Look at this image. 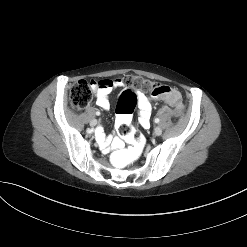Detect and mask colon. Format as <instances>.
Instances as JSON below:
<instances>
[{
    "instance_id": "5ec220e1",
    "label": "colon",
    "mask_w": 247,
    "mask_h": 247,
    "mask_svg": "<svg viewBox=\"0 0 247 247\" xmlns=\"http://www.w3.org/2000/svg\"><path fill=\"white\" fill-rule=\"evenodd\" d=\"M128 88L120 95L116 108L118 134L128 142L123 149H115L109 155V162L115 168L127 169L138 163L146 147V138L136 131L131 123L132 113L138 101V91L149 92L155 98H162L171 106L180 105L177 91L141 76H127L121 79ZM94 81L80 80L70 90V104L74 110L86 108L92 98Z\"/></svg>"
}]
</instances>
